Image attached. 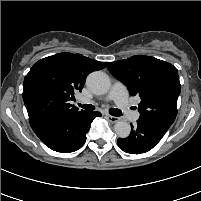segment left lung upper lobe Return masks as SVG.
<instances>
[{"label": "left lung upper lobe", "instance_id": "obj_1", "mask_svg": "<svg viewBox=\"0 0 201 201\" xmlns=\"http://www.w3.org/2000/svg\"><path fill=\"white\" fill-rule=\"evenodd\" d=\"M111 74L139 95V120L173 124L181 85L177 69L154 57L137 55L126 60L106 62Z\"/></svg>", "mask_w": 201, "mask_h": 201}]
</instances>
